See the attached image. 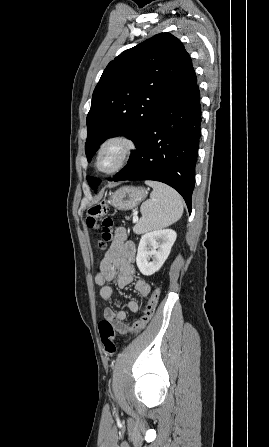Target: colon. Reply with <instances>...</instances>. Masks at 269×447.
Listing matches in <instances>:
<instances>
[{"instance_id":"5ec220e1","label":"colon","mask_w":269,"mask_h":447,"mask_svg":"<svg viewBox=\"0 0 269 447\" xmlns=\"http://www.w3.org/2000/svg\"><path fill=\"white\" fill-rule=\"evenodd\" d=\"M110 211V203L108 201H104L102 203H97L93 205L86 213V224L89 228L99 229L100 231V242L99 246H104L110 243L112 239V230H113V220L109 216ZM161 288L156 286L152 291V295L150 300H148V307L145 310V314L140 316L137 321H134L132 325L129 327H133L134 331L132 335H129L130 338L136 339L137 334L135 333L137 330L141 333L146 329V325H148L149 320H152V313L155 312L157 308V303L159 301ZM98 331L101 337V340L104 345V349L108 354H115L117 352V344H116V331L111 324V322L107 320H101L98 323ZM139 333V334H140Z\"/></svg>"}]
</instances>
